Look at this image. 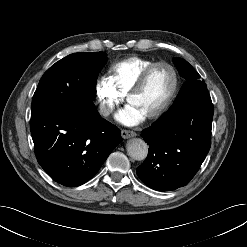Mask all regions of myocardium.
<instances>
[{"label": "myocardium", "instance_id": "1", "mask_svg": "<svg viewBox=\"0 0 247 247\" xmlns=\"http://www.w3.org/2000/svg\"><path fill=\"white\" fill-rule=\"evenodd\" d=\"M160 66H165L170 69L172 76H173V85H172L171 91L167 99L165 100V102L155 112L151 113L150 115L146 117L148 120H154V119L161 117L173 103L177 95L178 89H179V75H178L176 68L172 64L165 62V61H158V62H154L150 64L141 72L138 79L136 80V82L134 83V85L132 86V88L129 90V92L126 95V101L129 102V100L133 96L137 95L138 93L142 91L151 72L155 68L160 67Z\"/></svg>", "mask_w": 247, "mask_h": 247}]
</instances>
